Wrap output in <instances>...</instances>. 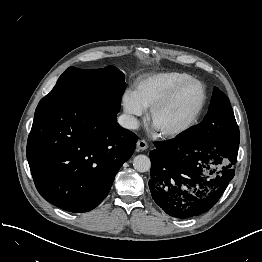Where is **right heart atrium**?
Segmentation results:
<instances>
[{
	"mask_svg": "<svg viewBox=\"0 0 262 262\" xmlns=\"http://www.w3.org/2000/svg\"><path fill=\"white\" fill-rule=\"evenodd\" d=\"M122 105L125 113L129 117L130 124L134 125L136 117L141 116L144 112V109L140 106L131 91H126L124 93L122 98Z\"/></svg>",
	"mask_w": 262,
	"mask_h": 262,
	"instance_id": "d8ad5b80",
	"label": "right heart atrium"
}]
</instances>
